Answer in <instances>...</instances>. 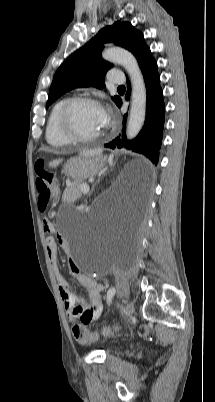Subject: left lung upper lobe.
I'll list each match as a JSON object with an SVG mask.
<instances>
[{
    "label": "left lung upper lobe",
    "mask_w": 215,
    "mask_h": 402,
    "mask_svg": "<svg viewBox=\"0 0 215 402\" xmlns=\"http://www.w3.org/2000/svg\"><path fill=\"white\" fill-rule=\"evenodd\" d=\"M114 43L129 50L137 59L140 68L152 58L143 34L129 22L117 21L104 27L83 47L72 53L58 68L50 87L48 108L64 93L78 87L105 88L104 76L112 64L101 58L103 44ZM117 103L119 96H114Z\"/></svg>",
    "instance_id": "obj_1"
}]
</instances>
